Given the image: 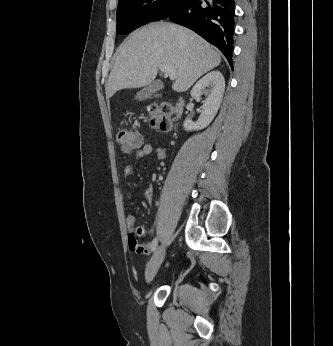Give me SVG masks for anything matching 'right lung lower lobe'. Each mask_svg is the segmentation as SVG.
<instances>
[{"label":"right lung lower lobe","instance_id":"obj_1","mask_svg":"<svg viewBox=\"0 0 333 346\" xmlns=\"http://www.w3.org/2000/svg\"><path fill=\"white\" fill-rule=\"evenodd\" d=\"M167 18L219 48L232 67L234 0H184Z\"/></svg>","mask_w":333,"mask_h":346}]
</instances>
